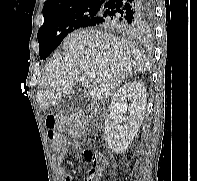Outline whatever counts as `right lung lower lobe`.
<instances>
[{
	"label": "right lung lower lobe",
	"mask_w": 197,
	"mask_h": 181,
	"mask_svg": "<svg viewBox=\"0 0 197 181\" xmlns=\"http://www.w3.org/2000/svg\"><path fill=\"white\" fill-rule=\"evenodd\" d=\"M103 13L87 22V26H103L121 32L138 34L154 15L153 0H109Z\"/></svg>",
	"instance_id": "right-lung-lower-lobe-1"
}]
</instances>
